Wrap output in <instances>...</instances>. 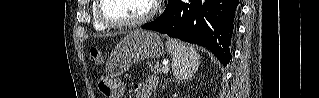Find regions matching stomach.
<instances>
[{
  "instance_id": "1",
  "label": "stomach",
  "mask_w": 319,
  "mask_h": 98,
  "mask_svg": "<svg viewBox=\"0 0 319 98\" xmlns=\"http://www.w3.org/2000/svg\"><path fill=\"white\" fill-rule=\"evenodd\" d=\"M165 52L161 37L151 31H137L125 36L114 49L108 64V76L110 81H106L107 94L109 98H114V78L126 72L134 63L141 62L149 58L161 57Z\"/></svg>"
}]
</instances>
